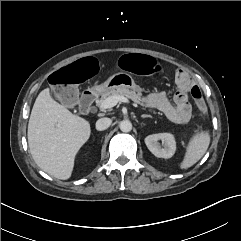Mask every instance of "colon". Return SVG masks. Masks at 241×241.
Segmentation results:
<instances>
[{"mask_svg":"<svg viewBox=\"0 0 241 241\" xmlns=\"http://www.w3.org/2000/svg\"><path fill=\"white\" fill-rule=\"evenodd\" d=\"M117 64L121 70L153 79L163 77L166 72L163 62L146 53H126L118 58ZM101 71V63L96 58L88 57L82 61L76 60L47 76V89H53L61 107L72 110L78 107L81 101L77 88L85 85L87 79L93 80L99 77ZM192 96L200 113H204L206 106L200 90L194 88Z\"/></svg>","mask_w":241,"mask_h":241,"instance_id":"obj_1","label":"colon"}]
</instances>
